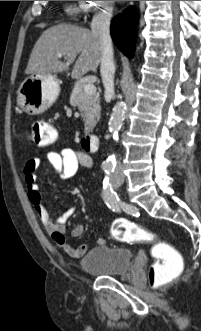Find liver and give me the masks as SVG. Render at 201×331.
I'll return each mask as SVG.
<instances>
[{
    "label": "liver",
    "mask_w": 201,
    "mask_h": 331,
    "mask_svg": "<svg viewBox=\"0 0 201 331\" xmlns=\"http://www.w3.org/2000/svg\"><path fill=\"white\" fill-rule=\"evenodd\" d=\"M61 53L66 61L57 56ZM76 60L72 78H81L89 71L96 72L102 59L98 35L70 24H59L45 30L31 52L25 74H52L68 70Z\"/></svg>",
    "instance_id": "obj_1"
}]
</instances>
